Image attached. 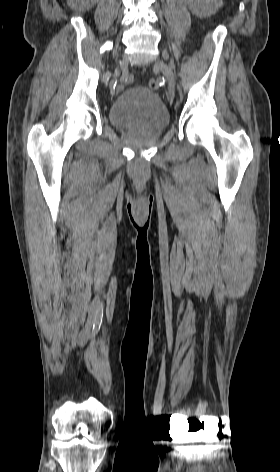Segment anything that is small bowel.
<instances>
[{"label": "small bowel", "mask_w": 280, "mask_h": 472, "mask_svg": "<svg viewBox=\"0 0 280 472\" xmlns=\"http://www.w3.org/2000/svg\"><path fill=\"white\" fill-rule=\"evenodd\" d=\"M131 82V79L127 80V83Z\"/></svg>", "instance_id": "c3829d8e"}]
</instances>
